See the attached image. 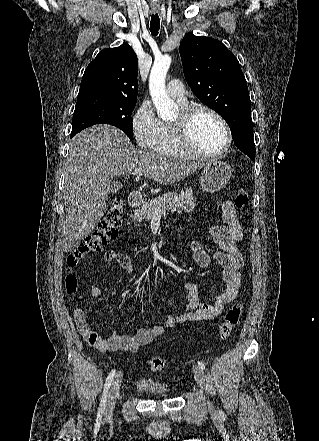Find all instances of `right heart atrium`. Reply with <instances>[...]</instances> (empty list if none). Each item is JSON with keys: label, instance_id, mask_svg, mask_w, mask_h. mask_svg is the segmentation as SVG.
Wrapping results in <instances>:
<instances>
[{"label": "right heart atrium", "instance_id": "d8ad5b80", "mask_svg": "<svg viewBox=\"0 0 319 441\" xmlns=\"http://www.w3.org/2000/svg\"><path fill=\"white\" fill-rule=\"evenodd\" d=\"M131 130L141 150H155L162 133V121L156 116L151 104L143 102L131 119Z\"/></svg>", "mask_w": 319, "mask_h": 441}]
</instances>
